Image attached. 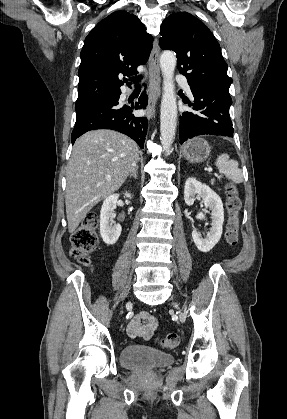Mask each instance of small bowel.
Segmentation results:
<instances>
[{"label": "small bowel", "instance_id": "obj_1", "mask_svg": "<svg viewBox=\"0 0 287 419\" xmlns=\"http://www.w3.org/2000/svg\"><path fill=\"white\" fill-rule=\"evenodd\" d=\"M157 319L149 312L142 311L136 314L127 325V333L131 338L148 340L157 329Z\"/></svg>", "mask_w": 287, "mask_h": 419}]
</instances>
